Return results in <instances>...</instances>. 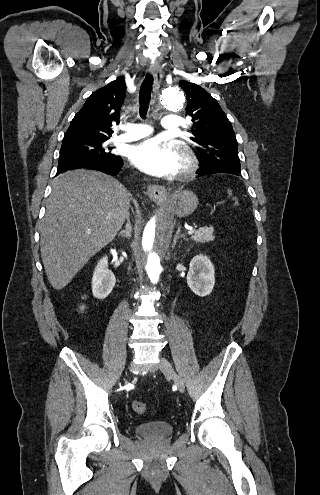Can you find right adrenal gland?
Returning <instances> with one entry per match:
<instances>
[{
	"mask_svg": "<svg viewBox=\"0 0 320 495\" xmlns=\"http://www.w3.org/2000/svg\"><path fill=\"white\" fill-rule=\"evenodd\" d=\"M126 219H127V223H126L125 229L120 231L119 236L130 238L131 233H132V225L130 222V215H128Z\"/></svg>",
	"mask_w": 320,
	"mask_h": 495,
	"instance_id": "2a0ac1e0",
	"label": "right adrenal gland"
}]
</instances>
